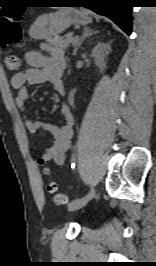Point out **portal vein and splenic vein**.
<instances>
[{"label":"portal vein and splenic vein","instance_id":"portal-vein-and-splenic-vein-1","mask_svg":"<svg viewBox=\"0 0 156 266\" xmlns=\"http://www.w3.org/2000/svg\"><path fill=\"white\" fill-rule=\"evenodd\" d=\"M76 40H77L76 38L75 39L74 38L69 39L70 42H76Z\"/></svg>","mask_w":156,"mask_h":266}]
</instances>
